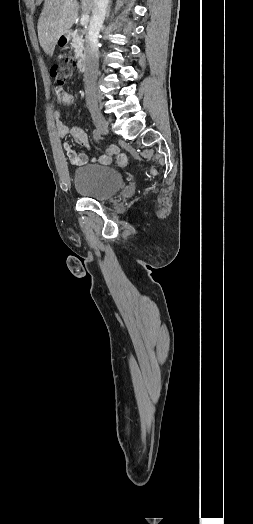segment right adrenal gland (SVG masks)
<instances>
[{"instance_id":"2a0ac1e0","label":"right adrenal gland","mask_w":253,"mask_h":524,"mask_svg":"<svg viewBox=\"0 0 253 524\" xmlns=\"http://www.w3.org/2000/svg\"><path fill=\"white\" fill-rule=\"evenodd\" d=\"M110 12H111V1L109 3L108 9H107V14H106V18L107 19L110 17Z\"/></svg>"}]
</instances>
